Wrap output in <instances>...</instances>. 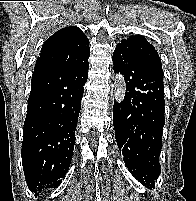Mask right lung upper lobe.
<instances>
[{"label": "right lung upper lobe", "mask_w": 196, "mask_h": 201, "mask_svg": "<svg viewBox=\"0 0 196 201\" xmlns=\"http://www.w3.org/2000/svg\"><path fill=\"white\" fill-rule=\"evenodd\" d=\"M90 56L89 40L75 26L62 28L49 37L42 46L34 72L82 66Z\"/></svg>", "instance_id": "right-lung-upper-lobe-1"}]
</instances>
